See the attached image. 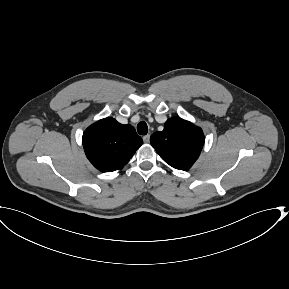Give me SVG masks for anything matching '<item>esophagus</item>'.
<instances>
[{
    "label": "esophagus",
    "mask_w": 289,
    "mask_h": 289,
    "mask_svg": "<svg viewBox=\"0 0 289 289\" xmlns=\"http://www.w3.org/2000/svg\"><path fill=\"white\" fill-rule=\"evenodd\" d=\"M143 141H144L145 143H149V141H150V135L147 134V135L143 136Z\"/></svg>",
    "instance_id": "esophagus-1"
}]
</instances>
